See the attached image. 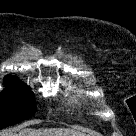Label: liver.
<instances>
[{
  "label": "liver",
  "instance_id": "6515ba94",
  "mask_svg": "<svg viewBox=\"0 0 136 136\" xmlns=\"http://www.w3.org/2000/svg\"><path fill=\"white\" fill-rule=\"evenodd\" d=\"M4 136H85L83 133L73 131L70 129H45V130H33L24 129L19 132L18 135L13 133H6Z\"/></svg>",
  "mask_w": 136,
  "mask_h": 136
}]
</instances>
